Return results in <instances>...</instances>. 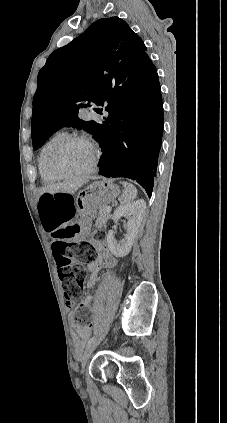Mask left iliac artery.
Segmentation results:
<instances>
[{
  "label": "left iliac artery",
  "mask_w": 227,
  "mask_h": 423,
  "mask_svg": "<svg viewBox=\"0 0 227 423\" xmlns=\"http://www.w3.org/2000/svg\"><path fill=\"white\" fill-rule=\"evenodd\" d=\"M96 341V337L95 336H93L89 341H88V344H87V346H89V345H91L92 343H94Z\"/></svg>",
  "instance_id": "left-iliac-artery-1"
}]
</instances>
